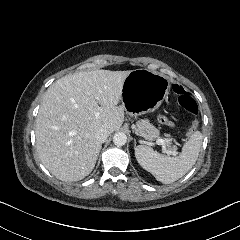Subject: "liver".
Listing matches in <instances>:
<instances>
[{"label":"liver","instance_id":"1","mask_svg":"<svg viewBox=\"0 0 240 240\" xmlns=\"http://www.w3.org/2000/svg\"><path fill=\"white\" fill-rule=\"evenodd\" d=\"M130 72L80 71L49 86L35 120V143L57 179L78 181L93 170L101 149L97 130L112 133L123 124L124 108L117 104Z\"/></svg>","mask_w":240,"mask_h":240}]
</instances>
